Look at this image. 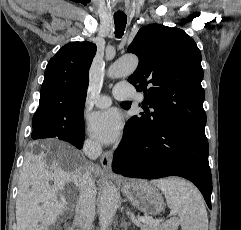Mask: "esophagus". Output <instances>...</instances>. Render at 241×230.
<instances>
[{
  "label": "esophagus",
  "mask_w": 241,
  "mask_h": 230,
  "mask_svg": "<svg viewBox=\"0 0 241 230\" xmlns=\"http://www.w3.org/2000/svg\"><path fill=\"white\" fill-rule=\"evenodd\" d=\"M113 156V151L109 150L102 154L100 157V163L106 171H111V160Z\"/></svg>",
  "instance_id": "esophagus-1"
}]
</instances>
